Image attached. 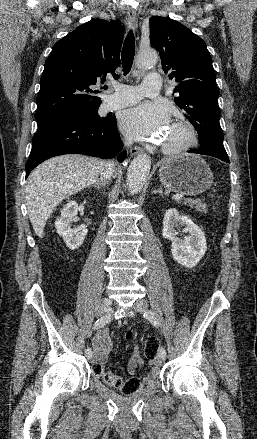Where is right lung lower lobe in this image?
<instances>
[{"instance_id": "obj_1", "label": "right lung lower lobe", "mask_w": 257, "mask_h": 439, "mask_svg": "<svg viewBox=\"0 0 257 439\" xmlns=\"http://www.w3.org/2000/svg\"><path fill=\"white\" fill-rule=\"evenodd\" d=\"M38 123L33 137V147L26 163V178L41 162L63 154H85L99 158H112L122 148V141L116 128L115 116L105 121L64 114L46 118ZM126 151L117 157L122 162Z\"/></svg>"}]
</instances>
